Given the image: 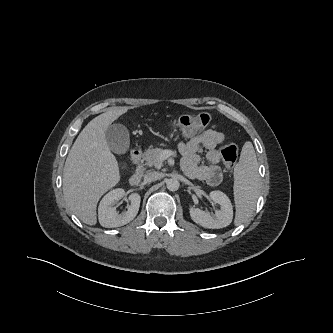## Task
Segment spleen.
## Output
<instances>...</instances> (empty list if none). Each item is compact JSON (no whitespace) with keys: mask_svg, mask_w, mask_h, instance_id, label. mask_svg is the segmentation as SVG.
Segmentation results:
<instances>
[{"mask_svg":"<svg viewBox=\"0 0 333 333\" xmlns=\"http://www.w3.org/2000/svg\"><path fill=\"white\" fill-rule=\"evenodd\" d=\"M259 181L255 150L252 143L248 141L244 144L239 162L234 168L235 225L247 221L255 210L259 195Z\"/></svg>","mask_w":333,"mask_h":333,"instance_id":"obj_1","label":"spleen"}]
</instances>
